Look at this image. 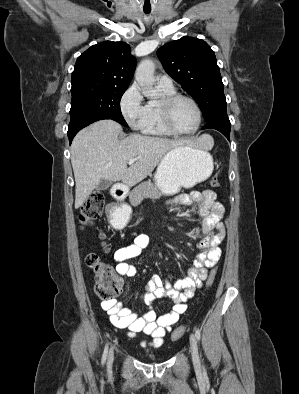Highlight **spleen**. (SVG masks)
<instances>
[{"instance_id": "obj_1", "label": "spleen", "mask_w": 299, "mask_h": 394, "mask_svg": "<svg viewBox=\"0 0 299 394\" xmlns=\"http://www.w3.org/2000/svg\"><path fill=\"white\" fill-rule=\"evenodd\" d=\"M205 140H206V148H211L213 146V139L210 136L205 135Z\"/></svg>"}]
</instances>
